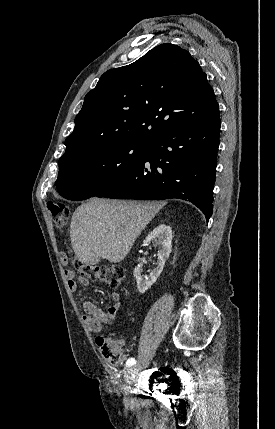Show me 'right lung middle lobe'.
<instances>
[{
  "label": "right lung middle lobe",
  "instance_id": "right-lung-middle-lobe-1",
  "mask_svg": "<svg viewBox=\"0 0 275 429\" xmlns=\"http://www.w3.org/2000/svg\"><path fill=\"white\" fill-rule=\"evenodd\" d=\"M148 144L122 143L86 153L59 165L55 182L61 196L85 200L105 190L144 159Z\"/></svg>",
  "mask_w": 275,
  "mask_h": 429
}]
</instances>
